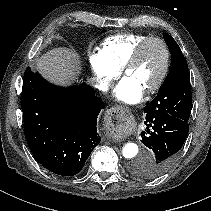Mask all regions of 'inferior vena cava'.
I'll list each match as a JSON object with an SVG mask.
<instances>
[{
    "mask_svg": "<svg viewBox=\"0 0 211 211\" xmlns=\"http://www.w3.org/2000/svg\"><path fill=\"white\" fill-rule=\"evenodd\" d=\"M96 88L100 89V90H104L108 88V83H99L96 84Z\"/></svg>",
    "mask_w": 211,
    "mask_h": 211,
    "instance_id": "1",
    "label": "inferior vena cava"
}]
</instances>
